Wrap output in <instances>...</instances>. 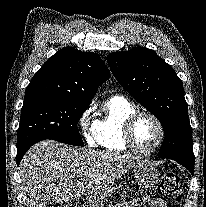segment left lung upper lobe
Returning a JSON list of instances; mask_svg holds the SVG:
<instances>
[{
    "instance_id": "left-lung-upper-lobe-1",
    "label": "left lung upper lobe",
    "mask_w": 206,
    "mask_h": 207,
    "mask_svg": "<svg viewBox=\"0 0 206 207\" xmlns=\"http://www.w3.org/2000/svg\"><path fill=\"white\" fill-rule=\"evenodd\" d=\"M107 61L120 85L161 122L165 140L158 156L194 164L183 83L173 68L145 47L113 52Z\"/></svg>"
}]
</instances>
